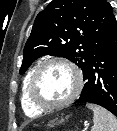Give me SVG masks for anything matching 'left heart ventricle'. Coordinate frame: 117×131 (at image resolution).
Masks as SVG:
<instances>
[{"mask_svg":"<svg viewBox=\"0 0 117 131\" xmlns=\"http://www.w3.org/2000/svg\"><path fill=\"white\" fill-rule=\"evenodd\" d=\"M75 88L73 72L62 65L43 68L35 83L37 98L49 104L59 103L68 98Z\"/></svg>","mask_w":117,"mask_h":131,"instance_id":"left-heart-ventricle-1","label":"left heart ventricle"}]
</instances>
